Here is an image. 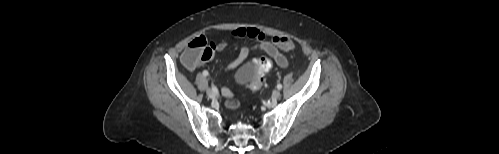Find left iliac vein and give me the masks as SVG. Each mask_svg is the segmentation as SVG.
<instances>
[{"mask_svg":"<svg viewBox=\"0 0 499 154\" xmlns=\"http://www.w3.org/2000/svg\"><path fill=\"white\" fill-rule=\"evenodd\" d=\"M281 93L278 89H275L273 92H272V99L273 100H277L279 97H280Z\"/></svg>","mask_w":499,"mask_h":154,"instance_id":"4c4485c4","label":"left iliac vein"}]
</instances>
